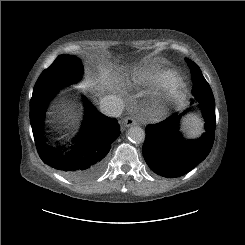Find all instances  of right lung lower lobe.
Segmentation results:
<instances>
[{"instance_id": "right-lung-lower-lobe-1", "label": "right lung lower lobe", "mask_w": 245, "mask_h": 245, "mask_svg": "<svg viewBox=\"0 0 245 245\" xmlns=\"http://www.w3.org/2000/svg\"><path fill=\"white\" fill-rule=\"evenodd\" d=\"M55 93L48 92L30 102V122L38 154L44 163L74 181L91 180L103 172L110 145L120 134V125L116 119L103 116L86 101L81 133L68 146H49L42 139L44 116Z\"/></svg>"}]
</instances>
